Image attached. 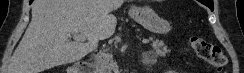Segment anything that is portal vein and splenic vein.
Instances as JSON below:
<instances>
[{"label": "portal vein and splenic vein", "mask_w": 244, "mask_h": 73, "mask_svg": "<svg viewBox=\"0 0 244 73\" xmlns=\"http://www.w3.org/2000/svg\"><path fill=\"white\" fill-rule=\"evenodd\" d=\"M74 38L77 39V40H80V41H85L86 40L85 36L78 35V34L74 35ZM142 42L147 44V43H149V40L148 39H143Z\"/></svg>", "instance_id": "1"}]
</instances>
